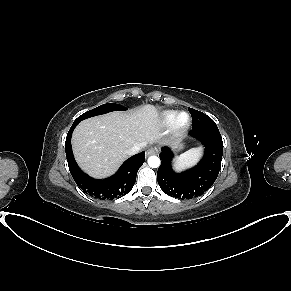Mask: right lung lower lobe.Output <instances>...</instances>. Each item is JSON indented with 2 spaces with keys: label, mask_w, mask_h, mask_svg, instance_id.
Here are the masks:
<instances>
[{
  "label": "right lung lower lobe",
  "mask_w": 291,
  "mask_h": 291,
  "mask_svg": "<svg viewBox=\"0 0 291 291\" xmlns=\"http://www.w3.org/2000/svg\"><path fill=\"white\" fill-rule=\"evenodd\" d=\"M76 126L77 124L73 123L65 142L69 170L76 184L84 192L100 200H112L126 195L135 184L137 171L145 160V152H141L127 159L120 169L107 179L97 180L91 178L79 168L73 156L71 136Z\"/></svg>",
  "instance_id": "1"
}]
</instances>
